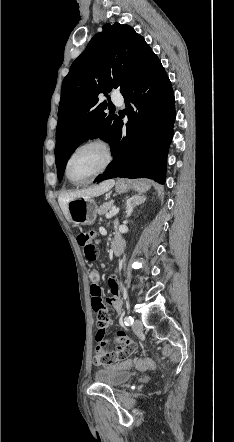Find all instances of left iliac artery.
<instances>
[{
  "instance_id": "left-iliac-artery-1",
  "label": "left iliac artery",
  "mask_w": 234,
  "mask_h": 442,
  "mask_svg": "<svg viewBox=\"0 0 234 442\" xmlns=\"http://www.w3.org/2000/svg\"><path fill=\"white\" fill-rule=\"evenodd\" d=\"M133 322H134V320H133V318H132L131 316H127V317H125V319H124V323H125L126 326H130V325H132Z\"/></svg>"
}]
</instances>
